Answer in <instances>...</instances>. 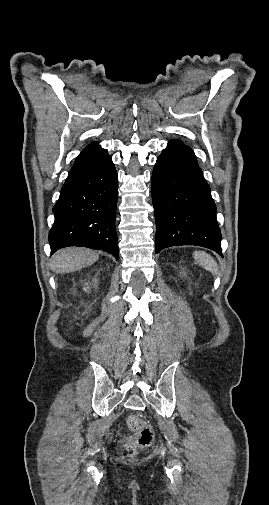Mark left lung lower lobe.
Listing matches in <instances>:
<instances>
[{"instance_id":"0a47b994","label":"left lung lower lobe","mask_w":269,"mask_h":505,"mask_svg":"<svg viewBox=\"0 0 269 505\" xmlns=\"http://www.w3.org/2000/svg\"><path fill=\"white\" fill-rule=\"evenodd\" d=\"M151 193L156 253L170 246L196 245L222 256L216 205L191 148L169 141L154 166Z\"/></svg>"}]
</instances>
